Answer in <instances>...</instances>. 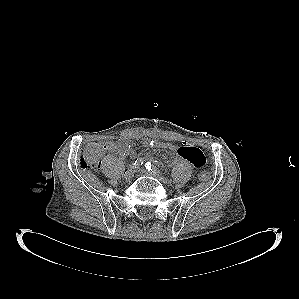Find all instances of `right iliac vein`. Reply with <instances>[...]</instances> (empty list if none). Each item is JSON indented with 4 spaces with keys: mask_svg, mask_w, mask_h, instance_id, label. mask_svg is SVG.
Listing matches in <instances>:
<instances>
[{
    "mask_svg": "<svg viewBox=\"0 0 299 299\" xmlns=\"http://www.w3.org/2000/svg\"><path fill=\"white\" fill-rule=\"evenodd\" d=\"M133 175H134V170H133V168H130L127 171H125V173L123 174V178L126 181H130L132 179Z\"/></svg>",
    "mask_w": 299,
    "mask_h": 299,
    "instance_id": "63e3f726",
    "label": "right iliac vein"
}]
</instances>
